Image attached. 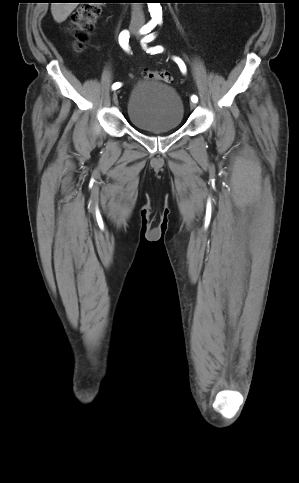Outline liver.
I'll return each mask as SVG.
<instances>
[{
  "instance_id": "liver-1",
  "label": "liver",
  "mask_w": 299,
  "mask_h": 483,
  "mask_svg": "<svg viewBox=\"0 0 299 483\" xmlns=\"http://www.w3.org/2000/svg\"><path fill=\"white\" fill-rule=\"evenodd\" d=\"M78 3H51V13L57 23H62L77 7Z\"/></svg>"
}]
</instances>
